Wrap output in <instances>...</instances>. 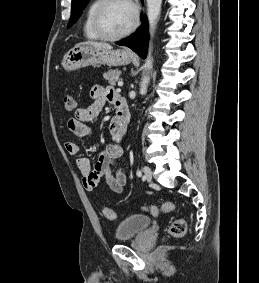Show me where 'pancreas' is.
Segmentation results:
<instances>
[{
  "label": "pancreas",
  "instance_id": "obj_1",
  "mask_svg": "<svg viewBox=\"0 0 259 283\" xmlns=\"http://www.w3.org/2000/svg\"><path fill=\"white\" fill-rule=\"evenodd\" d=\"M121 71L119 70H109L106 73H104L103 77L105 80L108 81L110 85H115V83L118 81V77L120 76Z\"/></svg>",
  "mask_w": 259,
  "mask_h": 283
}]
</instances>
